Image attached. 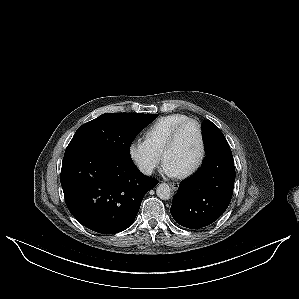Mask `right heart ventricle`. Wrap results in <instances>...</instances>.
Instances as JSON below:
<instances>
[{"instance_id":"e07e8e85","label":"right heart ventricle","mask_w":299,"mask_h":299,"mask_svg":"<svg viewBox=\"0 0 299 299\" xmlns=\"http://www.w3.org/2000/svg\"><path fill=\"white\" fill-rule=\"evenodd\" d=\"M184 115H171L160 119L146 134V143L155 153H162L172 132L187 121Z\"/></svg>"}]
</instances>
